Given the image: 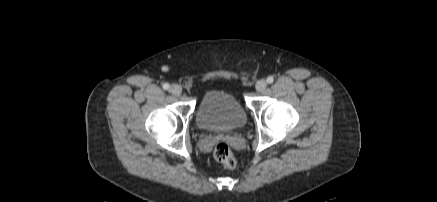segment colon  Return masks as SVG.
<instances>
[{
	"label": "colon",
	"instance_id": "5ec220e1",
	"mask_svg": "<svg viewBox=\"0 0 437 202\" xmlns=\"http://www.w3.org/2000/svg\"><path fill=\"white\" fill-rule=\"evenodd\" d=\"M214 159L229 169H234L237 165L236 158L230 146L224 142L219 143L213 152Z\"/></svg>",
	"mask_w": 437,
	"mask_h": 202
}]
</instances>
